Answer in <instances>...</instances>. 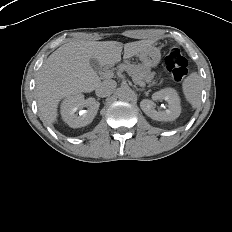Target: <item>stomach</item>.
<instances>
[{"instance_id":"obj_1","label":"stomach","mask_w":232,"mask_h":232,"mask_svg":"<svg viewBox=\"0 0 232 232\" xmlns=\"http://www.w3.org/2000/svg\"><path fill=\"white\" fill-rule=\"evenodd\" d=\"M140 60L144 65L149 67H155L161 60L160 50L154 46H149L146 50L138 54Z\"/></svg>"}]
</instances>
